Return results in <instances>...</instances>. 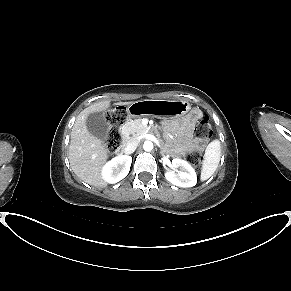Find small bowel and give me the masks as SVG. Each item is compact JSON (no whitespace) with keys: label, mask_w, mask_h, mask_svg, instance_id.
I'll use <instances>...</instances> for the list:
<instances>
[{"label":"small bowel","mask_w":291,"mask_h":291,"mask_svg":"<svg viewBox=\"0 0 291 291\" xmlns=\"http://www.w3.org/2000/svg\"><path fill=\"white\" fill-rule=\"evenodd\" d=\"M199 118V111L197 109H190L187 111L185 118L170 121L166 124L168 130L177 134L175 146L176 155L180 156L196 145L192 137V124L198 122Z\"/></svg>","instance_id":"obj_1"}]
</instances>
